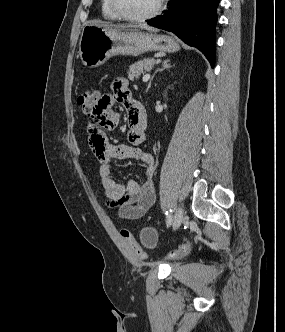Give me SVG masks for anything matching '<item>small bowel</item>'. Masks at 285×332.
Masks as SVG:
<instances>
[{
	"label": "small bowel",
	"instance_id": "1",
	"mask_svg": "<svg viewBox=\"0 0 285 332\" xmlns=\"http://www.w3.org/2000/svg\"><path fill=\"white\" fill-rule=\"evenodd\" d=\"M112 91L113 95L96 96L92 111H86V122H90L89 143L101 161L99 175L108 204L118 208L121 218L136 220L144 216L155 203V188L150 179L144 182L129 179L125 185L117 182L112 175V161L133 159L145 167V173L150 177L154 171V157L138 148L145 141L146 118L143 107L131 98L127 81L121 77L115 78ZM117 102L125 106L128 114L126 145L110 143L101 131L113 130L118 126L120 116L113 110Z\"/></svg>",
	"mask_w": 285,
	"mask_h": 332
}]
</instances>
